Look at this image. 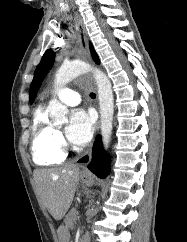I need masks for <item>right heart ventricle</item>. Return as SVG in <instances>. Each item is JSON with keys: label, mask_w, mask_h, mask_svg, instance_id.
<instances>
[{"label": "right heart ventricle", "mask_w": 187, "mask_h": 242, "mask_svg": "<svg viewBox=\"0 0 187 242\" xmlns=\"http://www.w3.org/2000/svg\"><path fill=\"white\" fill-rule=\"evenodd\" d=\"M31 152L34 162L41 166L60 164L66 157L44 105L38 106L33 115Z\"/></svg>", "instance_id": "e07e8e85"}]
</instances>
